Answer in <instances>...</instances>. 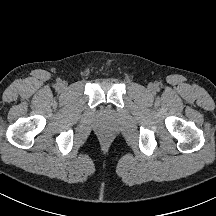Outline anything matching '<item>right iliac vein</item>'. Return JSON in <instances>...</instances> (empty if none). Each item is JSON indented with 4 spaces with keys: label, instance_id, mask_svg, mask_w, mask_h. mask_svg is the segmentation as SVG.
<instances>
[{
    "label": "right iliac vein",
    "instance_id": "obj_1",
    "mask_svg": "<svg viewBox=\"0 0 216 216\" xmlns=\"http://www.w3.org/2000/svg\"><path fill=\"white\" fill-rule=\"evenodd\" d=\"M65 86H66V84L64 82L59 84V88H61V89H64Z\"/></svg>",
    "mask_w": 216,
    "mask_h": 216
}]
</instances>
